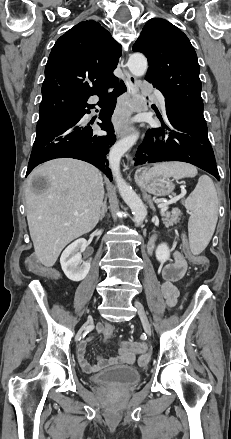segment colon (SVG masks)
Wrapping results in <instances>:
<instances>
[{"label":"colon","mask_w":231,"mask_h":439,"mask_svg":"<svg viewBox=\"0 0 231 439\" xmlns=\"http://www.w3.org/2000/svg\"><path fill=\"white\" fill-rule=\"evenodd\" d=\"M183 249H184V251H185V253H186V255H187V257H188L189 260H191V261L194 262L195 264L201 266L202 268H206V267H207V264H208V260H207V258L204 257V256H200V255L197 256V255L192 254V253L190 252V250H189L188 244H187V242H186L185 239H183ZM28 266H29V268H30L32 271H34V272H36V273H44V269H43V268L37 263V261H36L35 259H33V258H31V259L28 260ZM105 337H106V338H109L110 336L107 335V336H105Z\"/></svg>","instance_id":"1"}]
</instances>
